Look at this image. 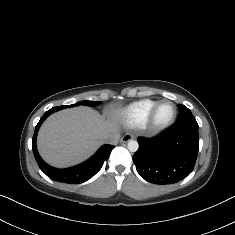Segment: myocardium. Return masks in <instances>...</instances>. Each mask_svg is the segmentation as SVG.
Returning <instances> with one entry per match:
<instances>
[{
	"label": "myocardium",
	"mask_w": 235,
	"mask_h": 235,
	"mask_svg": "<svg viewBox=\"0 0 235 235\" xmlns=\"http://www.w3.org/2000/svg\"><path fill=\"white\" fill-rule=\"evenodd\" d=\"M165 102H171L174 106L175 112H174L173 117L169 121H167L165 123H159L156 118L157 111H158V108L161 106V104H163ZM177 115H178V109H177L176 103L170 99H161L155 103V105L153 106V108L150 112L149 119H148L150 128L155 132L163 131V130L169 128L171 125H173V123L175 122V120L177 118Z\"/></svg>",
	"instance_id": "obj_1"
}]
</instances>
